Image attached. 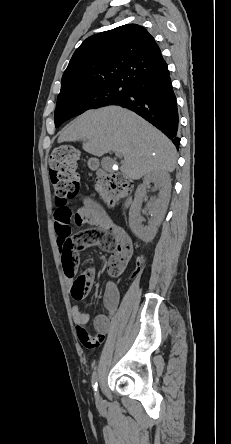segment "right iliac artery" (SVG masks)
<instances>
[{
  "label": "right iliac artery",
  "instance_id": "82829eb1",
  "mask_svg": "<svg viewBox=\"0 0 231 444\" xmlns=\"http://www.w3.org/2000/svg\"><path fill=\"white\" fill-rule=\"evenodd\" d=\"M97 386H98V383H97V373H96V370H94V372L92 374V387H93V389L95 391V396H98Z\"/></svg>",
  "mask_w": 231,
  "mask_h": 444
}]
</instances>
